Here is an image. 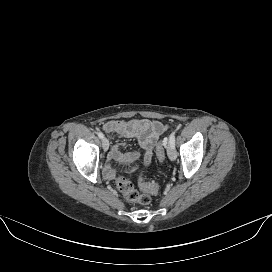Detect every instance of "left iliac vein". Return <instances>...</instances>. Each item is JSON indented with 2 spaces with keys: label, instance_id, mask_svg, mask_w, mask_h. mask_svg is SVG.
<instances>
[{
  "label": "left iliac vein",
  "instance_id": "1",
  "mask_svg": "<svg viewBox=\"0 0 272 272\" xmlns=\"http://www.w3.org/2000/svg\"><path fill=\"white\" fill-rule=\"evenodd\" d=\"M167 154L170 160H175L177 157L176 150L171 144L167 146Z\"/></svg>",
  "mask_w": 272,
  "mask_h": 272
}]
</instances>
